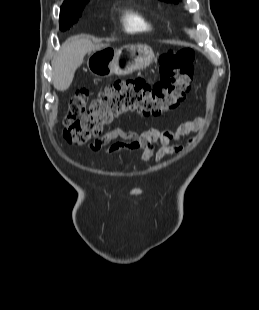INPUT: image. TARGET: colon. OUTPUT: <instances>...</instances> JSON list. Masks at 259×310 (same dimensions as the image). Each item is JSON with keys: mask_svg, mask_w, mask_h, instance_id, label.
I'll return each instance as SVG.
<instances>
[{"mask_svg": "<svg viewBox=\"0 0 259 310\" xmlns=\"http://www.w3.org/2000/svg\"><path fill=\"white\" fill-rule=\"evenodd\" d=\"M193 61L194 52L189 48L168 50L160 56L161 78L153 84L143 78L117 80L89 105V91H76L63 119L64 138L82 145L100 136L106 125L124 113L159 116L176 109L190 91Z\"/></svg>", "mask_w": 259, "mask_h": 310, "instance_id": "colon-1", "label": "colon"}]
</instances>
